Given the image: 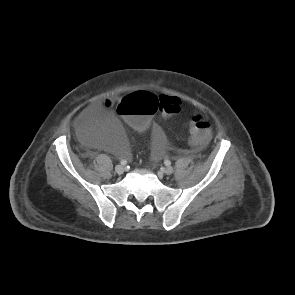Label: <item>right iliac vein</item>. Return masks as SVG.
<instances>
[{
    "mask_svg": "<svg viewBox=\"0 0 295 295\" xmlns=\"http://www.w3.org/2000/svg\"><path fill=\"white\" fill-rule=\"evenodd\" d=\"M115 172L119 175L122 174L124 172V167L122 165H117L115 167Z\"/></svg>",
    "mask_w": 295,
    "mask_h": 295,
    "instance_id": "right-iliac-vein-1",
    "label": "right iliac vein"
}]
</instances>
